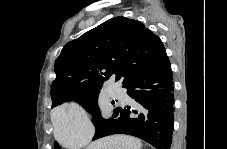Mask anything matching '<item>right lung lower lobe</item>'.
<instances>
[{
	"label": "right lung lower lobe",
	"instance_id": "98d812e1",
	"mask_svg": "<svg viewBox=\"0 0 227 149\" xmlns=\"http://www.w3.org/2000/svg\"><path fill=\"white\" fill-rule=\"evenodd\" d=\"M123 87L138 107H118L114 117H119L96 127L93 140L113 134H128L141 138L156 149H169L174 125V87L168 58Z\"/></svg>",
	"mask_w": 227,
	"mask_h": 149
}]
</instances>
